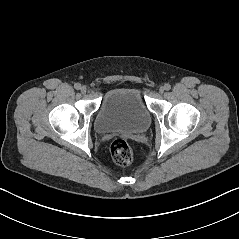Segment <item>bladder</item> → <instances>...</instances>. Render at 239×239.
I'll use <instances>...</instances> for the list:
<instances>
[{"label":"bladder","instance_id":"31cf9c89","mask_svg":"<svg viewBox=\"0 0 239 239\" xmlns=\"http://www.w3.org/2000/svg\"><path fill=\"white\" fill-rule=\"evenodd\" d=\"M152 121L151 112L138 88L122 87L107 91L94 119L99 134H143Z\"/></svg>","mask_w":239,"mask_h":239}]
</instances>
